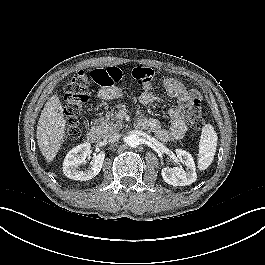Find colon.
<instances>
[{"instance_id":"1","label":"colon","mask_w":265,"mask_h":265,"mask_svg":"<svg viewBox=\"0 0 265 265\" xmlns=\"http://www.w3.org/2000/svg\"><path fill=\"white\" fill-rule=\"evenodd\" d=\"M152 74L151 70L148 69ZM133 77L143 82L140 69L133 70ZM122 78L121 72L116 68L95 69L92 71H79L76 73L64 87L63 98L65 101L66 115V138L75 140L81 134L80 117L85 103L88 101V89L90 84L96 83L102 86H111L120 82ZM189 125L194 130H201L204 125L202 105L198 98L193 99L186 114Z\"/></svg>"}]
</instances>
